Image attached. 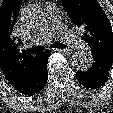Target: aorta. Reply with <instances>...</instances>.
<instances>
[{"label": "aorta", "instance_id": "aorta-1", "mask_svg": "<svg viewBox=\"0 0 113 113\" xmlns=\"http://www.w3.org/2000/svg\"><path fill=\"white\" fill-rule=\"evenodd\" d=\"M93 63L92 55L87 51L75 52L71 57V64L78 71H88Z\"/></svg>", "mask_w": 113, "mask_h": 113}]
</instances>
